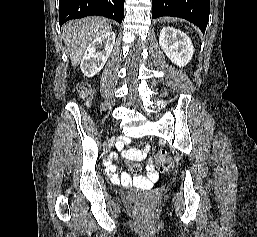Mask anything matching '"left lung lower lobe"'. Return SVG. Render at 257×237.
Here are the masks:
<instances>
[{
	"instance_id": "obj_1",
	"label": "left lung lower lobe",
	"mask_w": 257,
	"mask_h": 237,
	"mask_svg": "<svg viewBox=\"0 0 257 237\" xmlns=\"http://www.w3.org/2000/svg\"><path fill=\"white\" fill-rule=\"evenodd\" d=\"M152 18L180 17L197 25L204 33L209 20L210 0H152Z\"/></svg>"
}]
</instances>
